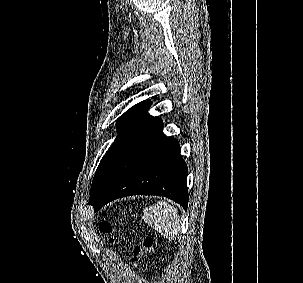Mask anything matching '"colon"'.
Returning a JSON list of instances; mask_svg holds the SVG:
<instances>
[{
  "label": "colon",
  "instance_id": "obj_1",
  "mask_svg": "<svg viewBox=\"0 0 303 283\" xmlns=\"http://www.w3.org/2000/svg\"><path fill=\"white\" fill-rule=\"evenodd\" d=\"M99 228L104 233H109L112 230L111 224L102 219L99 224ZM155 241L152 237H146L141 243L137 244L133 250V261L134 263H139L143 260L148 254L154 251Z\"/></svg>",
  "mask_w": 303,
  "mask_h": 283
}]
</instances>
